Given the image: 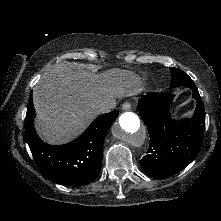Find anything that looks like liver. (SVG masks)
Instances as JSON below:
<instances>
[{"label": "liver", "instance_id": "obj_1", "mask_svg": "<svg viewBox=\"0 0 221 221\" xmlns=\"http://www.w3.org/2000/svg\"><path fill=\"white\" fill-rule=\"evenodd\" d=\"M141 77L113 68L99 74L58 63L45 72L33 91L35 128L50 144H63L81 134L99 114L97 108L143 90Z\"/></svg>", "mask_w": 221, "mask_h": 221}]
</instances>
